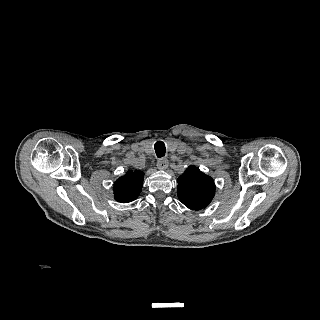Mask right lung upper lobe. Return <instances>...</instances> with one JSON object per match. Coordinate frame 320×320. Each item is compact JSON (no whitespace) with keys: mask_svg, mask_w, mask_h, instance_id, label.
Masks as SVG:
<instances>
[{"mask_svg":"<svg viewBox=\"0 0 320 320\" xmlns=\"http://www.w3.org/2000/svg\"><path fill=\"white\" fill-rule=\"evenodd\" d=\"M143 179L144 173L141 171H128L118 178L113 187L115 200L121 203L135 200L142 190Z\"/></svg>","mask_w":320,"mask_h":320,"instance_id":"cb5924a9","label":"right lung upper lobe"}]
</instances>
